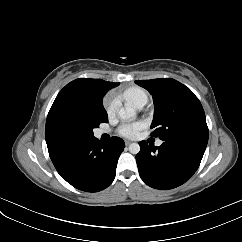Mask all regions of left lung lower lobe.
<instances>
[{
	"label": "left lung lower lobe",
	"mask_w": 242,
	"mask_h": 242,
	"mask_svg": "<svg viewBox=\"0 0 242 242\" xmlns=\"http://www.w3.org/2000/svg\"><path fill=\"white\" fill-rule=\"evenodd\" d=\"M136 155L142 180L155 189H173L185 183L198 169L206 145L200 142H163L159 147L139 142Z\"/></svg>",
	"instance_id": "0a47b994"
}]
</instances>
